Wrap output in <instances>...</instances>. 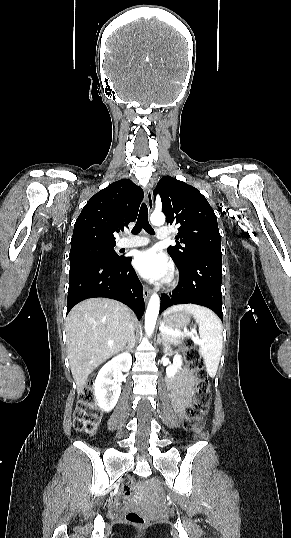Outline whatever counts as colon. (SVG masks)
Returning <instances> with one entry per match:
<instances>
[{
	"label": "colon",
	"instance_id": "1",
	"mask_svg": "<svg viewBox=\"0 0 291 538\" xmlns=\"http://www.w3.org/2000/svg\"><path fill=\"white\" fill-rule=\"evenodd\" d=\"M180 345L195 370L196 378L195 396L193 402L185 410L184 427L198 433L204 426V416L210 402V383L198 351L190 342L183 341ZM101 415V410L95 402L93 383L89 381L79 395L73 425L77 431L91 433L97 428ZM121 491L126 496H131L134 493L132 478L123 479ZM125 519L129 524L138 528H143L148 523L147 519L136 511L127 512Z\"/></svg>",
	"mask_w": 291,
	"mask_h": 538
}]
</instances>
